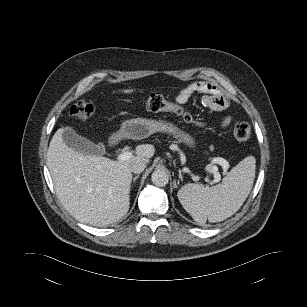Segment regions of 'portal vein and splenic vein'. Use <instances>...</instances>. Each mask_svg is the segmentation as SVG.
Returning a JSON list of instances; mask_svg holds the SVG:
<instances>
[{
    "instance_id": "obj_1",
    "label": "portal vein and splenic vein",
    "mask_w": 307,
    "mask_h": 307,
    "mask_svg": "<svg viewBox=\"0 0 307 307\" xmlns=\"http://www.w3.org/2000/svg\"><path fill=\"white\" fill-rule=\"evenodd\" d=\"M133 157V154L129 151H123L121 152L117 159L119 161H127L130 160ZM213 163L220 164L224 170H227L229 167L228 162L223 158H216L213 160ZM205 171L212 172L214 175V179L211 181V183H218L221 180V175L219 173L218 167L216 165H209L205 168Z\"/></svg>"
}]
</instances>
